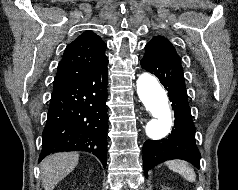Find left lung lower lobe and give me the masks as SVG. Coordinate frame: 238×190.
Wrapping results in <instances>:
<instances>
[{"label": "left lung lower lobe", "mask_w": 238, "mask_h": 190, "mask_svg": "<svg viewBox=\"0 0 238 190\" xmlns=\"http://www.w3.org/2000/svg\"><path fill=\"white\" fill-rule=\"evenodd\" d=\"M141 66L157 76L168 91L174 110L171 134L161 140H147L143 146L145 174L158 163L170 159H183L199 168L200 153L195 143V126L187 99L181 60L165 58L145 52Z\"/></svg>", "instance_id": "left-lung-lower-lobe-1"}]
</instances>
